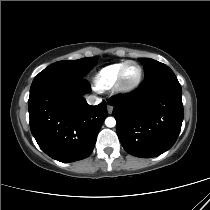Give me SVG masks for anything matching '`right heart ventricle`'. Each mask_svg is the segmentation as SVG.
<instances>
[{"mask_svg":"<svg viewBox=\"0 0 210 210\" xmlns=\"http://www.w3.org/2000/svg\"><path fill=\"white\" fill-rule=\"evenodd\" d=\"M124 62L110 64L102 68L94 78L95 88L98 90L110 89L117 80L118 72Z\"/></svg>","mask_w":210,"mask_h":210,"instance_id":"1","label":"right heart ventricle"}]
</instances>
